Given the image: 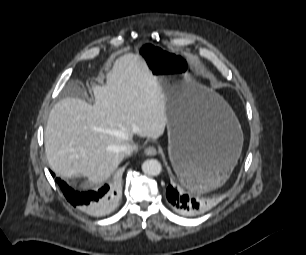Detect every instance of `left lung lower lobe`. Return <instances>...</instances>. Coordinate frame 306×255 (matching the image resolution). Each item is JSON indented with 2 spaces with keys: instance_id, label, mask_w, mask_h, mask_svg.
Masks as SVG:
<instances>
[{
  "instance_id": "0a47b994",
  "label": "left lung lower lobe",
  "mask_w": 306,
  "mask_h": 255,
  "mask_svg": "<svg viewBox=\"0 0 306 255\" xmlns=\"http://www.w3.org/2000/svg\"><path fill=\"white\" fill-rule=\"evenodd\" d=\"M200 177V170L194 164H184L182 167V178L191 183L193 179ZM167 200L170 206L178 213L187 216L198 215L206 208V202L200 198H194L183 194L177 187L169 185L167 188Z\"/></svg>"
}]
</instances>
